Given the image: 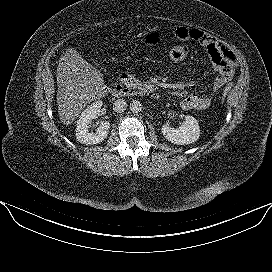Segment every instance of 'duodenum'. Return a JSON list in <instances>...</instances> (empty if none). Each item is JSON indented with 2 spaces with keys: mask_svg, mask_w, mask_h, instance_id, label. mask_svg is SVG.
Masks as SVG:
<instances>
[{
  "mask_svg": "<svg viewBox=\"0 0 272 272\" xmlns=\"http://www.w3.org/2000/svg\"><path fill=\"white\" fill-rule=\"evenodd\" d=\"M127 84H133L132 77L127 73H121L116 83H113L109 87L111 94L116 96H129L133 94L146 95L154 99H158L159 95L156 90L150 85H141L137 90H134L127 86Z\"/></svg>",
  "mask_w": 272,
  "mask_h": 272,
  "instance_id": "duodenum-1",
  "label": "duodenum"
}]
</instances>
